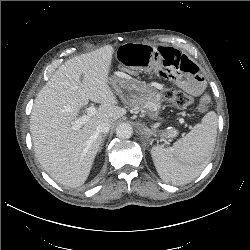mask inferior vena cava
<instances>
[{
	"instance_id": "1",
	"label": "inferior vena cava",
	"mask_w": 250,
	"mask_h": 250,
	"mask_svg": "<svg viewBox=\"0 0 250 250\" xmlns=\"http://www.w3.org/2000/svg\"><path fill=\"white\" fill-rule=\"evenodd\" d=\"M111 122L110 121H103L99 124L97 130L100 132V133H108L109 132V129L111 127Z\"/></svg>"
}]
</instances>
